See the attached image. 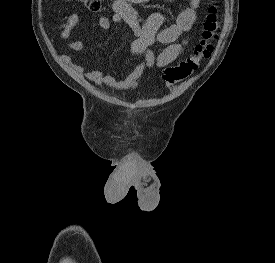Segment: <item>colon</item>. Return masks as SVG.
<instances>
[{
    "label": "colon",
    "mask_w": 275,
    "mask_h": 263,
    "mask_svg": "<svg viewBox=\"0 0 275 263\" xmlns=\"http://www.w3.org/2000/svg\"><path fill=\"white\" fill-rule=\"evenodd\" d=\"M92 12H101L105 8V0H78ZM220 30V20L215 6L209 8L208 16L203 26L202 39L196 45L195 51L179 63L167 67L163 72L164 86L168 87L191 76L208 59L213 51V41Z\"/></svg>",
    "instance_id": "colon-1"
}]
</instances>
